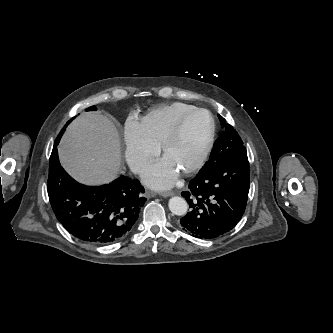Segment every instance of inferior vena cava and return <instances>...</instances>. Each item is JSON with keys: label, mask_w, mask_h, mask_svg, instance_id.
I'll list each match as a JSON object with an SVG mask.
<instances>
[{"label": "inferior vena cava", "mask_w": 333, "mask_h": 333, "mask_svg": "<svg viewBox=\"0 0 333 333\" xmlns=\"http://www.w3.org/2000/svg\"><path fill=\"white\" fill-rule=\"evenodd\" d=\"M130 171L134 174H139L142 170V165L136 162L129 164Z\"/></svg>", "instance_id": "obj_1"}]
</instances>
